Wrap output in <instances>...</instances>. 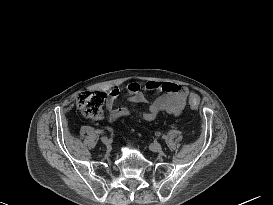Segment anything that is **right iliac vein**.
Listing matches in <instances>:
<instances>
[{
  "label": "right iliac vein",
  "mask_w": 273,
  "mask_h": 205,
  "mask_svg": "<svg viewBox=\"0 0 273 205\" xmlns=\"http://www.w3.org/2000/svg\"><path fill=\"white\" fill-rule=\"evenodd\" d=\"M101 141L105 145H109L110 143V140L106 136L101 137Z\"/></svg>",
  "instance_id": "63e3f726"
}]
</instances>
